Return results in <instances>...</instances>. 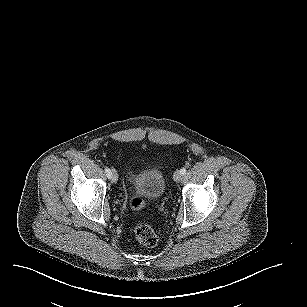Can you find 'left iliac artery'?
Returning a JSON list of instances; mask_svg holds the SVG:
<instances>
[{"instance_id":"left-iliac-artery-1","label":"left iliac artery","mask_w":307,"mask_h":307,"mask_svg":"<svg viewBox=\"0 0 307 307\" xmlns=\"http://www.w3.org/2000/svg\"><path fill=\"white\" fill-rule=\"evenodd\" d=\"M180 171H181L182 175H184V174H186L187 170H186V168H182Z\"/></svg>"}]
</instances>
